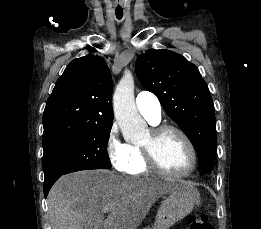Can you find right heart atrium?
<instances>
[{"instance_id": "obj_1", "label": "right heart atrium", "mask_w": 261, "mask_h": 229, "mask_svg": "<svg viewBox=\"0 0 261 229\" xmlns=\"http://www.w3.org/2000/svg\"><path fill=\"white\" fill-rule=\"evenodd\" d=\"M105 148L112 167L119 172H128L132 164V155L129 144L120 139L116 123L110 126Z\"/></svg>"}]
</instances>
